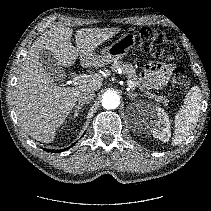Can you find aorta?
<instances>
[{
    "instance_id": "obj_1",
    "label": "aorta",
    "mask_w": 211,
    "mask_h": 211,
    "mask_svg": "<svg viewBox=\"0 0 211 211\" xmlns=\"http://www.w3.org/2000/svg\"><path fill=\"white\" fill-rule=\"evenodd\" d=\"M120 104V98L114 91L105 92L102 96V106L105 109H115Z\"/></svg>"
}]
</instances>
